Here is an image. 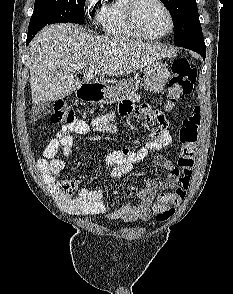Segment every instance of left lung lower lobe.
Masks as SVG:
<instances>
[{
    "mask_svg": "<svg viewBox=\"0 0 233 294\" xmlns=\"http://www.w3.org/2000/svg\"><path fill=\"white\" fill-rule=\"evenodd\" d=\"M200 54L202 55L203 58L206 56V49L204 51H201Z\"/></svg>",
    "mask_w": 233,
    "mask_h": 294,
    "instance_id": "1",
    "label": "left lung lower lobe"
}]
</instances>
